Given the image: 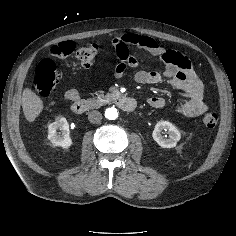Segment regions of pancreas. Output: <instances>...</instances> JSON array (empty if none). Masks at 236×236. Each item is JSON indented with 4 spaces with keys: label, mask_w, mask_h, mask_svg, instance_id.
<instances>
[{
    "label": "pancreas",
    "mask_w": 236,
    "mask_h": 236,
    "mask_svg": "<svg viewBox=\"0 0 236 236\" xmlns=\"http://www.w3.org/2000/svg\"><path fill=\"white\" fill-rule=\"evenodd\" d=\"M94 95H97L98 102L109 101L114 97V94L112 93H107L104 95L103 91H99V94L97 93L92 94V96Z\"/></svg>",
    "instance_id": "1"
}]
</instances>
